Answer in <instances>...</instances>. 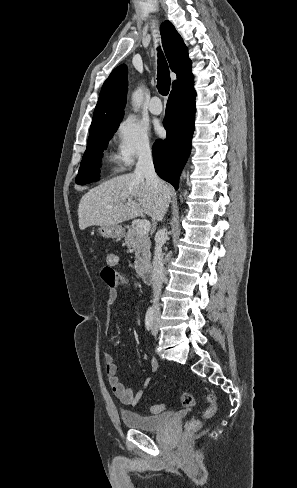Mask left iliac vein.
I'll return each instance as SVG.
<instances>
[{
    "label": "left iliac vein",
    "mask_w": 297,
    "mask_h": 488,
    "mask_svg": "<svg viewBox=\"0 0 297 488\" xmlns=\"http://www.w3.org/2000/svg\"><path fill=\"white\" fill-rule=\"evenodd\" d=\"M159 322L155 319L153 327H152V335L156 336L158 334Z\"/></svg>",
    "instance_id": "obj_1"
}]
</instances>
